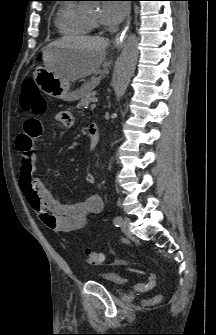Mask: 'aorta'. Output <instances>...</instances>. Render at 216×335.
Instances as JSON below:
<instances>
[{
    "mask_svg": "<svg viewBox=\"0 0 216 335\" xmlns=\"http://www.w3.org/2000/svg\"><path fill=\"white\" fill-rule=\"evenodd\" d=\"M138 59V38L130 34L126 39L116 72L115 94L119 101L125 94Z\"/></svg>",
    "mask_w": 216,
    "mask_h": 335,
    "instance_id": "aorta-1",
    "label": "aorta"
}]
</instances>
